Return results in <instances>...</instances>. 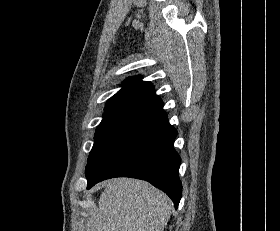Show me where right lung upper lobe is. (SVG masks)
I'll use <instances>...</instances> for the list:
<instances>
[{
	"label": "right lung upper lobe",
	"instance_id": "1",
	"mask_svg": "<svg viewBox=\"0 0 280 231\" xmlns=\"http://www.w3.org/2000/svg\"><path fill=\"white\" fill-rule=\"evenodd\" d=\"M141 78L133 76L124 80L123 88L106 102L103 120H122L137 125L165 114L163 102L155 94L153 85Z\"/></svg>",
	"mask_w": 280,
	"mask_h": 231
}]
</instances>
